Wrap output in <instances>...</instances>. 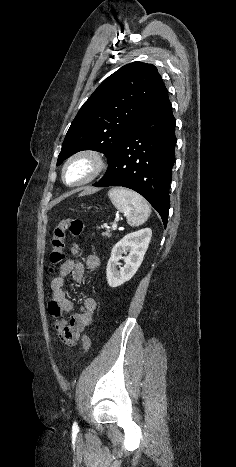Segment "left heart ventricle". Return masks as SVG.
Wrapping results in <instances>:
<instances>
[{
  "mask_svg": "<svg viewBox=\"0 0 236 467\" xmlns=\"http://www.w3.org/2000/svg\"><path fill=\"white\" fill-rule=\"evenodd\" d=\"M93 170V162L88 158H80L73 161L66 170L67 183H76L87 178Z\"/></svg>",
  "mask_w": 236,
  "mask_h": 467,
  "instance_id": "obj_1",
  "label": "left heart ventricle"
}]
</instances>
